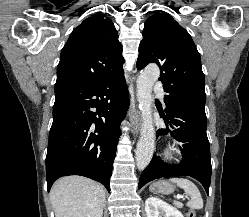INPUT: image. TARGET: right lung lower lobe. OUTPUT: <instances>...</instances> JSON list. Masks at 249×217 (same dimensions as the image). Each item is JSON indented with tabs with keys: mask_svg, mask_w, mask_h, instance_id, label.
I'll list each match as a JSON object with an SVG mask.
<instances>
[{
	"mask_svg": "<svg viewBox=\"0 0 249 217\" xmlns=\"http://www.w3.org/2000/svg\"><path fill=\"white\" fill-rule=\"evenodd\" d=\"M128 105L123 73L95 84L55 86L46 156L48 192L67 175L91 178L110 191L120 123Z\"/></svg>",
	"mask_w": 249,
	"mask_h": 217,
	"instance_id": "obj_1",
	"label": "right lung lower lobe"
}]
</instances>
